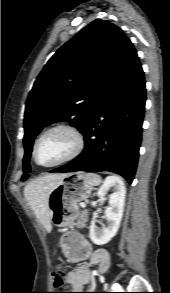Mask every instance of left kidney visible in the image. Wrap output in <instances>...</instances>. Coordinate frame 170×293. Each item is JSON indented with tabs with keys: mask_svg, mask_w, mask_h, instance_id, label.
<instances>
[{
	"mask_svg": "<svg viewBox=\"0 0 170 293\" xmlns=\"http://www.w3.org/2000/svg\"><path fill=\"white\" fill-rule=\"evenodd\" d=\"M110 188H113L114 193L109 196L110 206L105 211L107 226L103 228L96 227V212L93 214L90 226V239L96 245H104L116 235L123 215L126 189L123 181L119 177L109 176L106 178L97 192L99 201L102 202L105 200L106 193Z\"/></svg>",
	"mask_w": 170,
	"mask_h": 293,
	"instance_id": "obj_1",
	"label": "left kidney"
}]
</instances>
